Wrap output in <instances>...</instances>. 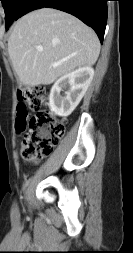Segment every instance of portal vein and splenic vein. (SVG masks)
Wrapping results in <instances>:
<instances>
[{
	"label": "portal vein and splenic vein",
	"mask_w": 133,
	"mask_h": 253,
	"mask_svg": "<svg viewBox=\"0 0 133 253\" xmlns=\"http://www.w3.org/2000/svg\"><path fill=\"white\" fill-rule=\"evenodd\" d=\"M37 51L38 52H42L43 51V47H37Z\"/></svg>",
	"instance_id": "obj_1"
}]
</instances>
